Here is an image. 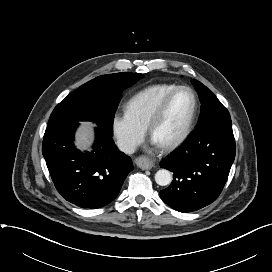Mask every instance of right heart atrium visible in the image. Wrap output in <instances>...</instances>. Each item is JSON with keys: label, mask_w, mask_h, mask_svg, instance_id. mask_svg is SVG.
Masks as SVG:
<instances>
[{"label": "right heart atrium", "mask_w": 272, "mask_h": 272, "mask_svg": "<svg viewBox=\"0 0 272 272\" xmlns=\"http://www.w3.org/2000/svg\"><path fill=\"white\" fill-rule=\"evenodd\" d=\"M111 128L119 149L128 154L136 150L146 133V129L134 122L126 112L113 116Z\"/></svg>", "instance_id": "obj_1"}]
</instances>
